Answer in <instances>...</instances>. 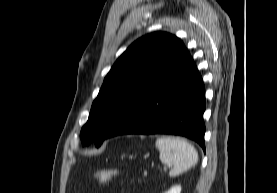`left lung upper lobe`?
<instances>
[{
  "label": "left lung upper lobe",
  "instance_id": "1",
  "mask_svg": "<svg viewBox=\"0 0 277 193\" xmlns=\"http://www.w3.org/2000/svg\"><path fill=\"white\" fill-rule=\"evenodd\" d=\"M183 42L174 35L155 32L133 44L118 58L104 79L87 123L82 127V144L99 147L126 112L189 59Z\"/></svg>",
  "mask_w": 277,
  "mask_h": 193
}]
</instances>
